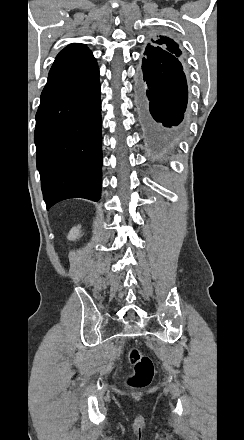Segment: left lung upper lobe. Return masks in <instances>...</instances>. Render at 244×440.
<instances>
[{
    "label": "left lung upper lobe",
    "instance_id": "5c2ea615",
    "mask_svg": "<svg viewBox=\"0 0 244 440\" xmlns=\"http://www.w3.org/2000/svg\"><path fill=\"white\" fill-rule=\"evenodd\" d=\"M144 54L147 59L153 62L169 64L180 61L182 52L173 39L157 35L151 39V43L147 45Z\"/></svg>",
    "mask_w": 244,
    "mask_h": 440
}]
</instances>
